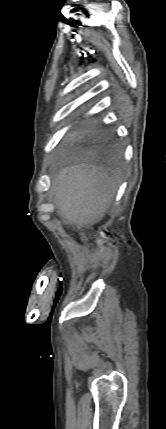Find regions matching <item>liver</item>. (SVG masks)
<instances>
[{
    "mask_svg": "<svg viewBox=\"0 0 166 429\" xmlns=\"http://www.w3.org/2000/svg\"><path fill=\"white\" fill-rule=\"evenodd\" d=\"M118 182V176L102 166L63 168L52 183L60 217L78 229L99 222L114 200Z\"/></svg>",
    "mask_w": 166,
    "mask_h": 429,
    "instance_id": "6515ba94",
    "label": "liver"
}]
</instances>
